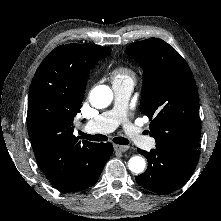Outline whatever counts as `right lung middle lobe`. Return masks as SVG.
I'll list each match as a JSON object with an SVG mask.
<instances>
[{
  "instance_id": "dd1d6c3e",
  "label": "right lung middle lobe",
  "mask_w": 221,
  "mask_h": 221,
  "mask_svg": "<svg viewBox=\"0 0 221 221\" xmlns=\"http://www.w3.org/2000/svg\"><path fill=\"white\" fill-rule=\"evenodd\" d=\"M110 52H111V50L107 53H104L103 57L107 56Z\"/></svg>"
}]
</instances>
